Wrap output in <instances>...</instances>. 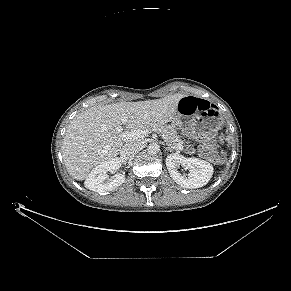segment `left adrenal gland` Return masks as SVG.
Instances as JSON below:
<instances>
[{"label":"left adrenal gland","mask_w":291,"mask_h":291,"mask_svg":"<svg viewBox=\"0 0 291 291\" xmlns=\"http://www.w3.org/2000/svg\"><path fill=\"white\" fill-rule=\"evenodd\" d=\"M165 150H166V151H170V152H173V151H174V150H173L172 148H170V147H166Z\"/></svg>","instance_id":"a2214340"}]
</instances>
